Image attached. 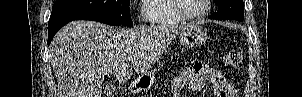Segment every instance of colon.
<instances>
[{"mask_svg":"<svg viewBox=\"0 0 302 97\" xmlns=\"http://www.w3.org/2000/svg\"><path fill=\"white\" fill-rule=\"evenodd\" d=\"M224 60L229 66H237L242 63L243 54L239 50H230L225 54Z\"/></svg>","mask_w":302,"mask_h":97,"instance_id":"1","label":"colon"}]
</instances>
